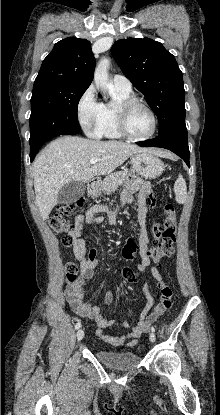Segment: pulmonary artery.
Masks as SVG:
<instances>
[{
    "mask_svg": "<svg viewBox=\"0 0 220 415\" xmlns=\"http://www.w3.org/2000/svg\"><path fill=\"white\" fill-rule=\"evenodd\" d=\"M114 89L122 93L131 92V82L122 75H114L113 77Z\"/></svg>",
    "mask_w": 220,
    "mask_h": 415,
    "instance_id": "e3ab8cb5",
    "label": "pulmonary artery"
}]
</instances>
